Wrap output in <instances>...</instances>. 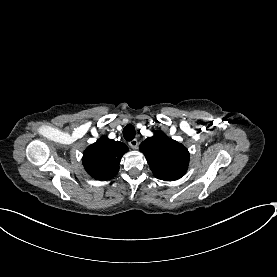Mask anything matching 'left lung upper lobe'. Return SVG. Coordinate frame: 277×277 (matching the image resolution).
<instances>
[{
  "mask_svg": "<svg viewBox=\"0 0 277 277\" xmlns=\"http://www.w3.org/2000/svg\"><path fill=\"white\" fill-rule=\"evenodd\" d=\"M139 149L158 179L174 181L181 178L188 169V150L162 132H155L154 136L144 140Z\"/></svg>",
  "mask_w": 277,
  "mask_h": 277,
  "instance_id": "left-lung-upper-lobe-1",
  "label": "left lung upper lobe"
}]
</instances>
